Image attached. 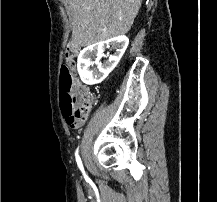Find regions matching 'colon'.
Listing matches in <instances>:
<instances>
[{"label":"colon","mask_w":217,"mask_h":202,"mask_svg":"<svg viewBox=\"0 0 217 202\" xmlns=\"http://www.w3.org/2000/svg\"><path fill=\"white\" fill-rule=\"evenodd\" d=\"M79 47H68L66 55L63 56L65 67H61L60 80V101L63 106L64 112H61V117H67V124L70 128H83V123H78L83 115V111L90 110V103H95V93H77L83 91L82 80H76L78 73L79 63H71L73 56L77 55ZM78 108H81L79 110Z\"/></svg>","instance_id":"obj_1"}]
</instances>
